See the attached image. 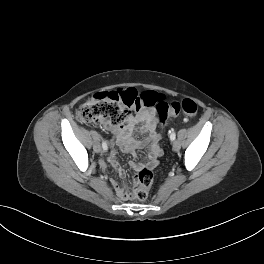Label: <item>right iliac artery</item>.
Returning a JSON list of instances; mask_svg holds the SVG:
<instances>
[{
    "mask_svg": "<svg viewBox=\"0 0 264 264\" xmlns=\"http://www.w3.org/2000/svg\"><path fill=\"white\" fill-rule=\"evenodd\" d=\"M102 147H103L104 150H107L108 147H107V144H106L105 141L102 142Z\"/></svg>",
    "mask_w": 264,
    "mask_h": 264,
    "instance_id": "82829eb1",
    "label": "right iliac artery"
}]
</instances>
